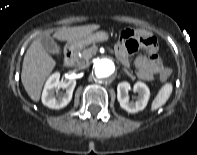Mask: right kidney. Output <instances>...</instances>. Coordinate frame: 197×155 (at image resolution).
Returning <instances> with one entry per match:
<instances>
[{"label": "right kidney", "mask_w": 197, "mask_h": 155, "mask_svg": "<svg viewBox=\"0 0 197 155\" xmlns=\"http://www.w3.org/2000/svg\"><path fill=\"white\" fill-rule=\"evenodd\" d=\"M60 74H52L44 86L42 93V103L51 109H60L65 107L72 99L73 91L76 86L75 80L60 81ZM60 88L66 89L64 94L58 95Z\"/></svg>", "instance_id": "1"}]
</instances>
